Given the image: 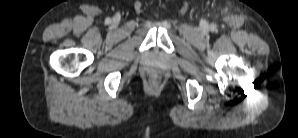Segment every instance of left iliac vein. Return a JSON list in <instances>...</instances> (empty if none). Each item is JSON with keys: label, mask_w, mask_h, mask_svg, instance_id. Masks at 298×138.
Listing matches in <instances>:
<instances>
[{"label": "left iliac vein", "mask_w": 298, "mask_h": 138, "mask_svg": "<svg viewBox=\"0 0 298 138\" xmlns=\"http://www.w3.org/2000/svg\"><path fill=\"white\" fill-rule=\"evenodd\" d=\"M201 28L203 31H207L208 30V24L206 22H203L201 25Z\"/></svg>", "instance_id": "left-iliac-vein-1"}]
</instances>
